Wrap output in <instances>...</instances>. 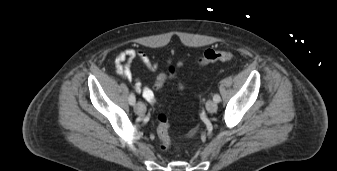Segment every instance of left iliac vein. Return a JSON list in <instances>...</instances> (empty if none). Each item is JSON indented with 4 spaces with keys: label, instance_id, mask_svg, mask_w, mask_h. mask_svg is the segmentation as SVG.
<instances>
[{
    "label": "left iliac vein",
    "instance_id": "1",
    "mask_svg": "<svg viewBox=\"0 0 337 171\" xmlns=\"http://www.w3.org/2000/svg\"><path fill=\"white\" fill-rule=\"evenodd\" d=\"M206 109L210 113H214L217 110V103L212 100H208L206 103Z\"/></svg>",
    "mask_w": 337,
    "mask_h": 171
}]
</instances>
